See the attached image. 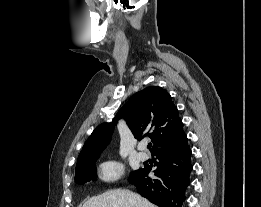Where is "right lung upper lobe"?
I'll return each mask as SVG.
<instances>
[{"label": "right lung upper lobe", "mask_w": 261, "mask_h": 207, "mask_svg": "<svg viewBox=\"0 0 261 207\" xmlns=\"http://www.w3.org/2000/svg\"><path fill=\"white\" fill-rule=\"evenodd\" d=\"M124 118L135 138L149 136L154 144L151 153L181 141L186 135L178 109L171 96L158 86L134 94L117 112L112 122L97 126L85 142L77 165L99 157L109 144L117 121Z\"/></svg>", "instance_id": "cb5924a9"}]
</instances>
